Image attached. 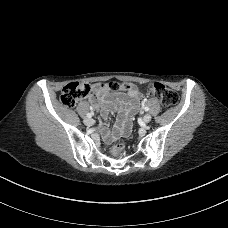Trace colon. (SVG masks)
Returning <instances> with one entry per match:
<instances>
[{
    "instance_id": "colon-1",
    "label": "colon",
    "mask_w": 228,
    "mask_h": 228,
    "mask_svg": "<svg viewBox=\"0 0 228 228\" xmlns=\"http://www.w3.org/2000/svg\"><path fill=\"white\" fill-rule=\"evenodd\" d=\"M107 86L111 91L114 92L119 90L130 92L132 90V86L129 83H124L122 85L117 83H109ZM103 88V84H98L95 86L96 90H102ZM91 90L92 87L86 83H69L63 88L60 95V100L66 107H72L78 100L88 96ZM148 93L149 95L157 98L164 107H170L178 102V95L162 83H152L148 88ZM123 151L124 145L122 143H116L111 149V154L114 157H119Z\"/></svg>"
}]
</instances>
